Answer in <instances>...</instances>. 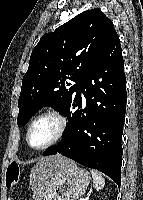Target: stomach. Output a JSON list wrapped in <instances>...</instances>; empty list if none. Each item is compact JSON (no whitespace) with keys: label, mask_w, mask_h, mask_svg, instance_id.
I'll list each match as a JSON object with an SVG mask.
<instances>
[{"label":"stomach","mask_w":143,"mask_h":200,"mask_svg":"<svg viewBox=\"0 0 143 200\" xmlns=\"http://www.w3.org/2000/svg\"><path fill=\"white\" fill-rule=\"evenodd\" d=\"M90 179L84 168L67 164L52 175L42 200H76L84 194Z\"/></svg>","instance_id":"obj_1"}]
</instances>
